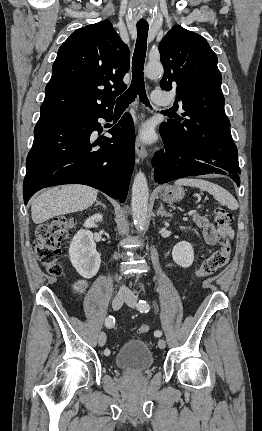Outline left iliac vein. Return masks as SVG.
Segmentation results:
<instances>
[{
	"label": "left iliac vein",
	"instance_id": "left-iliac-vein-1",
	"mask_svg": "<svg viewBox=\"0 0 262 431\" xmlns=\"http://www.w3.org/2000/svg\"><path fill=\"white\" fill-rule=\"evenodd\" d=\"M125 303L131 308H135L137 305V297L133 293H128L125 298ZM158 347L164 349L166 347V342L164 339L158 340Z\"/></svg>",
	"mask_w": 262,
	"mask_h": 431
}]
</instances>
